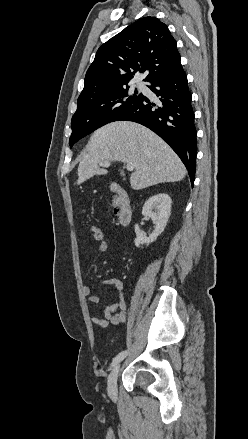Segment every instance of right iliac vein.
Returning a JSON list of instances; mask_svg holds the SVG:
<instances>
[{
    "label": "right iliac vein",
    "instance_id": "right-iliac-vein-1",
    "mask_svg": "<svg viewBox=\"0 0 248 439\" xmlns=\"http://www.w3.org/2000/svg\"><path fill=\"white\" fill-rule=\"evenodd\" d=\"M120 372V364H117L109 374L108 393L111 397L117 396V378Z\"/></svg>",
    "mask_w": 248,
    "mask_h": 439
}]
</instances>
